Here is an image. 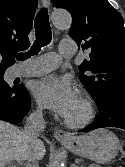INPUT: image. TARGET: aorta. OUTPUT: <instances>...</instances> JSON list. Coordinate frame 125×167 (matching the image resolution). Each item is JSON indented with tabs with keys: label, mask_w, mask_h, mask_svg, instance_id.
<instances>
[{
	"label": "aorta",
	"mask_w": 125,
	"mask_h": 167,
	"mask_svg": "<svg viewBox=\"0 0 125 167\" xmlns=\"http://www.w3.org/2000/svg\"><path fill=\"white\" fill-rule=\"evenodd\" d=\"M52 21L56 28L64 29L70 25L71 16L67 12L56 11L52 14ZM64 163H65V156L61 154L52 163V167H63Z\"/></svg>",
	"instance_id": "1"
}]
</instances>
